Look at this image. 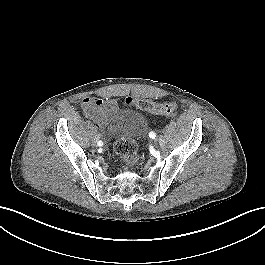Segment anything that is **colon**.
Masks as SVG:
<instances>
[{"label":"colon","mask_w":265,"mask_h":265,"mask_svg":"<svg viewBox=\"0 0 265 265\" xmlns=\"http://www.w3.org/2000/svg\"><path fill=\"white\" fill-rule=\"evenodd\" d=\"M126 104L159 115H171L177 108V104L174 101L157 103L148 99L128 98ZM114 150L126 164L135 165L139 161L137 143L132 139L124 137L116 138Z\"/></svg>","instance_id":"1"}]
</instances>
